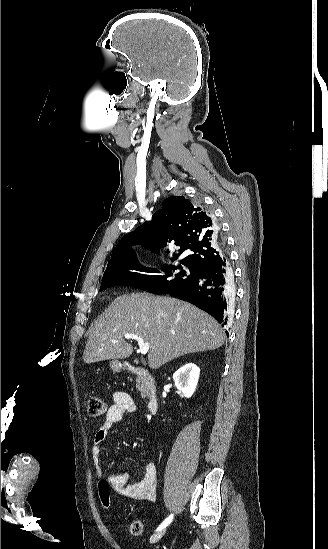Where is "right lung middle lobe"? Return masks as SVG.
Here are the masks:
<instances>
[{"label":"right lung middle lobe","instance_id":"1","mask_svg":"<svg viewBox=\"0 0 328 549\" xmlns=\"http://www.w3.org/2000/svg\"><path fill=\"white\" fill-rule=\"evenodd\" d=\"M136 271L151 272L156 275H141ZM159 273L158 270L144 269L135 259L125 260L105 270L100 291L112 285H133L160 294L191 280L195 270L189 268V272H186L181 265H165L162 267V273Z\"/></svg>","mask_w":328,"mask_h":549}]
</instances>
